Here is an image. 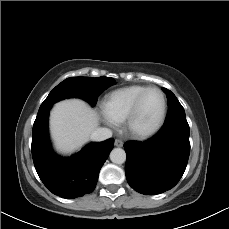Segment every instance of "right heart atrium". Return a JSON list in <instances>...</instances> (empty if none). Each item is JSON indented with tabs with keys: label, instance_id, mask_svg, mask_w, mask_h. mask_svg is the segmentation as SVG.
Instances as JSON below:
<instances>
[{
	"label": "right heart atrium",
	"instance_id": "d8ad5b80",
	"mask_svg": "<svg viewBox=\"0 0 229 229\" xmlns=\"http://www.w3.org/2000/svg\"><path fill=\"white\" fill-rule=\"evenodd\" d=\"M104 119H105L106 124H108L109 126H112V127L116 126V122L110 119L106 114H104Z\"/></svg>",
	"mask_w": 229,
	"mask_h": 229
}]
</instances>
